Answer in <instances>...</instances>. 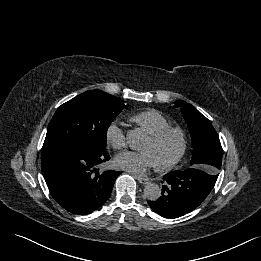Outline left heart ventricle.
<instances>
[{
  "mask_svg": "<svg viewBox=\"0 0 261 261\" xmlns=\"http://www.w3.org/2000/svg\"><path fill=\"white\" fill-rule=\"evenodd\" d=\"M179 146V139L176 136H170L159 144L148 139L143 145L142 150L150 151L154 155L157 164H162L171 160L177 154Z\"/></svg>",
  "mask_w": 261,
  "mask_h": 261,
  "instance_id": "obj_1",
  "label": "left heart ventricle"
}]
</instances>
